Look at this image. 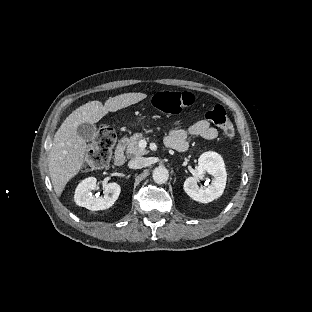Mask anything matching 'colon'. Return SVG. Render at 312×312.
Returning <instances> with one entry per match:
<instances>
[{"instance_id":"5ec220e1","label":"colon","mask_w":312,"mask_h":312,"mask_svg":"<svg viewBox=\"0 0 312 312\" xmlns=\"http://www.w3.org/2000/svg\"><path fill=\"white\" fill-rule=\"evenodd\" d=\"M194 102L191 92H159L156 96L155 105L163 113L179 114L183 109L189 107ZM207 122L216 124L226 137H235V129L229 121L228 115L222 106L214 108L204 113ZM116 141V135L110 126H101L95 134V143L92 151L87 154L85 162L88 167L99 168L105 166L111 157V151Z\"/></svg>"}]
</instances>
